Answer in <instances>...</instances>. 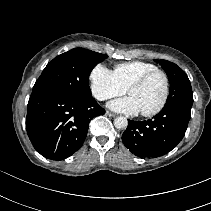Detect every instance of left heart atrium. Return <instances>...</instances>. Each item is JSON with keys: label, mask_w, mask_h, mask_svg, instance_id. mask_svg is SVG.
Returning a JSON list of instances; mask_svg holds the SVG:
<instances>
[{"label": "left heart atrium", "mask_w": 211, "mask_h": 211, "mask_svg": "<svg viewBox=\"0 0 211 211\" xmlns=\"http://www.w3.org/2000/svg\"><path fill=\"white\" fill-rule=\"evenodd\" d=\"M108 106L112 110L131 115L140 112L135 100L131 96L113 100L108 104Z\"/></svg>", "instance_id": "39dd6f15"}]
</instances>
